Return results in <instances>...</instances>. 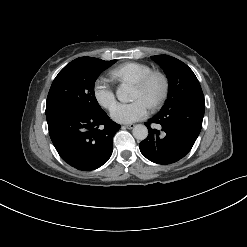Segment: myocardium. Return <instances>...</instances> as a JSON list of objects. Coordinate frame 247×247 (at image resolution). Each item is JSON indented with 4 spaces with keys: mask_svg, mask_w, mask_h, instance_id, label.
Returning a JSON list of instances; mask_svg holds the SVG:
<instances>
[{
    "mask_svg": "<svg viewBox=\"0 0 247 247\" xmlns=\"http://www.w3.org/2000/svg\"><path fill=\"white\" fill-rule=\"evenodd\" d=\"M159 80L161 83V89L159 93L152 99L150 103L151 108H157L166 99L169 91V79L167 75L160 71H151L142 79L135 82V86L142 91H148L153 81Z\"/></svg>",
    "mask_w": 247,
    "mask_h": 247,
    "instance_id": "f54148a6",
    "label": "myocardium"
}]
</instances>
